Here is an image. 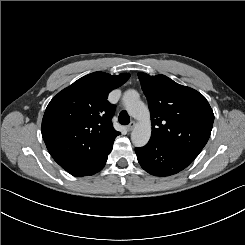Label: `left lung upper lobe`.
I'll return each mask as SVG.
<instances>
[{
  "label": "left lung upper lobe",
  "instance_id": "1",
  "mask_svg": "<svg viewBox=\"0 0 245 245\" xmlns=\"http://www.w3.org/2000/svg\"><path fill=\"white\" fill-rule=\"evenodd\" d=\"M151 113L150 140L195 159L206 145L214 114L206 98L165 75L138 74Z\"/></svg>",
  "mask_w": 245,
  "mask_h": 245
}]
</instances>
